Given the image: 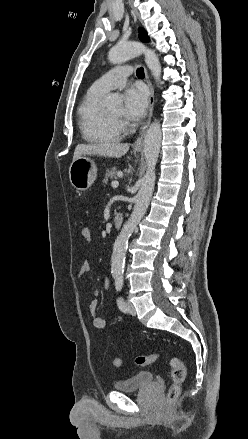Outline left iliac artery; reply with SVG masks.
<instances>
[{
	"label": "left iliac artery",
	"mask_w": 248,
	"mask_h": 439,
	"mask_svg": "<svg viewBox=\"0 0 248 439\" xmlns=\"http://www.w3.org/2000/svg\"><path fill=\"white\" fill-rule=\"evenodd\" d=\"M114 279H115L116 290L117 291H121L122 288H123V285H124V277H123V275L122 274H116L114 276ZM117 305H118V307H119V309L121 311H123V312H127L128 311V306H127L125 300L122 297L117 299Z\"/></svg>",
	"instance_id": "1"
}]
</instances>
